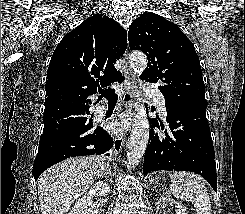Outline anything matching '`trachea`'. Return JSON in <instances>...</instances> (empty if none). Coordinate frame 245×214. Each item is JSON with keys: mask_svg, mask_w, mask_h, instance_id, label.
<instances>
[{"mask_svg": "<svg viewBox=\"0 0 245 214\" xmlns=\"http://www.w3.org/2000/svg\"><path fill=\"white\" fill-rule=\"evenodd\" d=\"M100 98L105 97L108 100V103H116L118 95L115 92L114 88H109L108 90L99 89Z\"/></svg>", "mask_w": 245, "mask_h": 214, "instance_id": "trachea-1", "label": "trachea"}]
</instances>
